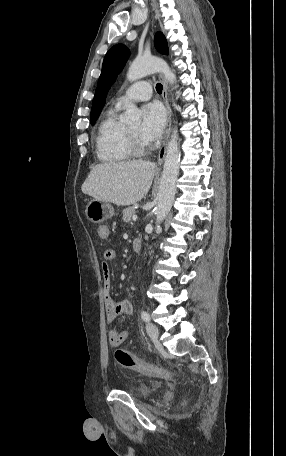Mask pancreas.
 I'll return each mask as SVG.
<instances>
[{
  "mask_svg": "<svg viewBox=\"0 0 286 456\" xmlns=\"http://www.w3.org/2000/svg\"><path fill=\"white\" fill-rule=\"evenodd\" d=\"M136 213V209L135 207H128L126 209L123 210V217H122V220L124 222H130L131 221V218L133 217V215H135Z\"/></svg>",
  "mask_w": 286,
  "mask_h": 456,
  "instance_id": "obj_1",
  "label": "pancreas"
}]
</instances>
